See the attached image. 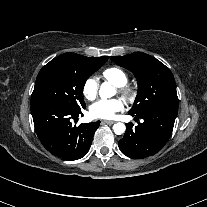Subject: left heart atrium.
Instances as JSON below:
<instances>
[{
	"label": "left heart atrium",
	"instance_id": "39dd6f15",
	"mask_svg": "<svg viewBox=\"0 0 207 207\" xmlns=\"http://www.w3.org/2000/svg\"><path fill=\"white\" fill-rule=\"evenodd\" d=\"M123 109L124 104L120 100H99L91 106L90 115L99 119H111Z\"/></svg>",
	"mask_w": 207,
	"mask_h": 207
}]
</instances>
